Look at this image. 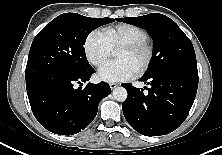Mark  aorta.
Returning a JSON list of instances; mask_svg holds the SVG:
<instances>
[{
    "label": "aorta",
    "mask_w": 222,
    "mask_h": 155,
    "mask_svg": "<svg viewBox=\"0 0 222 155\" xmlns=\"http://www.w3.org/2000/svg\"><path fill=\"white\" fill-rule=\"evenodd\" d=\"M113 98L116 101L124 102L127 99V90L123 87H117L113 90Z\"/></svg>",
    "instance_id": "1"
}]
</instances>
